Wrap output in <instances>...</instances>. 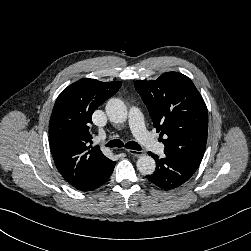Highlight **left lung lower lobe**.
<instances>
[{"label":"left lung lower lobe","instance_id":"0a47b994","mask_svg":"<svg viewBox=\"0 0 251 251\" xmlns=\"http://www.w3.org/2000/svg\"><path fill=\"white\" fill-rule=\"evenodd\" d=\"M156 161V170L146 178L154 185L164 190L177 188L187 182L197 170L198 166L175 156L166 155L159 158L149 152Z\"/></svg>","mask_w":251,"mask_h":251}]
</instances>
